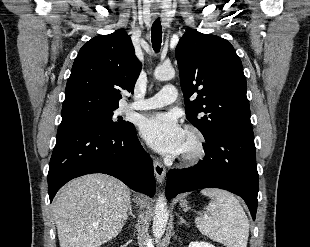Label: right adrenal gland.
<instances>
[{
	"label": "right adrenal gland",
	"instance_id": "right-adrenal-gland-1",
	"mask_svg": "<svg viewBox=\"0 0 310 247\" xmlns=\"http://www.w3.org/2000/svg\"><path fill=\"white\" fill-rule=\"evenodd\" d=\"M129 216H132L133 218H135V216H134L133 213H132V205H131V204L129 205V212H128V214L126 215V217H125V219H124L123 225L126 224V222H127Z\"/></svg>",
	"mask_w": 310,
	"mask_h": 247
}]
</instances>
